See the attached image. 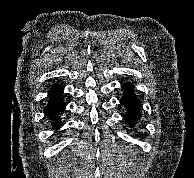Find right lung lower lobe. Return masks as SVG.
I'll return each mask as SVG.
<instances>
[{"mask_svg": "<svg viewBox=\"0 0 194 178\" xmlns=\"http://www.w3.org/2000/svg\"><path fill=\"white\" fill-rule=\"evenodd\" d=\"M63 91L62 86L52 87L48 92L49 101L44 108V113L51 118L53 127L57 129L63 124L59 120L66 106V102L62 100Z\"/></svg>", "mask_w": 194, "mask_h": 178, "instance_id": "98d812e1", "label": "right lung lower lobe"}]
</instances>
